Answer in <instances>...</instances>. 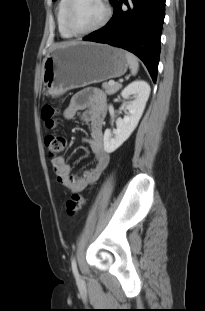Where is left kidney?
<instances>
[{
	"mask_svg": "<svg viewBox=\"0 0 205 311\" xmlns=\"http://www.w3.org/2000/svg\"><path fill=\"white\" fill-rule=\"evenodd\" d=\"M149 95L150 86L142 80L134 81L122 90L124 99L132 97L133 100L122 105L121 109L126 111V116L116 120L117 129L113 133L109 129L105 130L104 150L107 153L114 152L130 137L144 112Z\"/></svg>",
	"mask_w": 205,
	"mask_h": 311,
	"instance_id": "left-kidney-1",
	"label": "left kidney"
}]
</instances>
